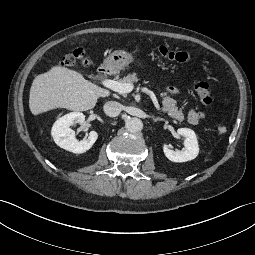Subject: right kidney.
Returning a JSON list of instances; mask_svg holds the SVG:
<instances>
[{"label":"right kidney","instance_id":"right-kidney-1","mask_svg":"<svg viewBox=\"0 0 255 255\" xmlns=\"http://www.w3.org/2000/svg\"><path fill=\"white\" fill-rule=\"evenodd\" d=\"M85 116L80 112H72L59 118L53 125L51 134L55 143L70 152L81 154L89 150L98 138V134L95 131L89 133L88 138L82 141L75 139V132L70 126L77 123L83 124Z\"/></svg>","mask_w":255,"mask_h":255}]
</instances>
